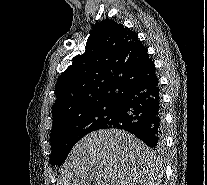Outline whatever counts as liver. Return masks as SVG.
I'll use <instances>...</instances> for the list:
<instances>
[{
  "mask_svg": "<svg viewBox=\"0 0 207 185\" xmlns=\"http://www.w3.org/2000/svg\"><path fill=\"white\" fill-rule=\"evenodd\" d=\"M154 153L123 129H99L76 143L59 185H155Z\"/></svg>",
  "mask_w": 207,
  "mask_h": 185,
  "instance_id": "obj_1",
  "label": "liver"
}]
</instances>
